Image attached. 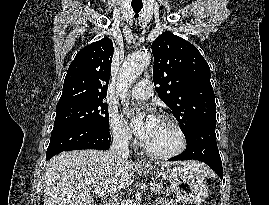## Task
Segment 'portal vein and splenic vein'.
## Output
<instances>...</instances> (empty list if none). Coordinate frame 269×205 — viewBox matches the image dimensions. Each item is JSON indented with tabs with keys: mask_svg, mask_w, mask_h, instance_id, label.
Here are the masks:
<instances>
[{
	"mask_svg": "<svg viewBox=\"0 0 269 205\" xmlns=\"http://www.w3.org/2000/svg\"><path fill=\"white\" fill-rule=\"evenodd\" d=\"M94 193L98 196H105L106 192L104 190L101 189H95Z\"/></svg>",
	"mask_w": 269,
	"mask_h": 205,
	"instance_id": "1",
	"label": "portal vein and splenic vein"
}]
</instances>
